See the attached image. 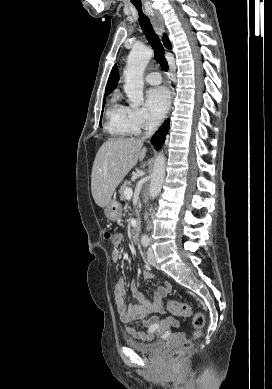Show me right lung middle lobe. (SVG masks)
Wrapping results in <instances>:
<instances>
[{"label": "right lung middle lobe", "instance_id": "1", "mask_svg": "<svg viewBox=\"0 0 272 389\" xmlns=\"http://www.w3.org/2000/svg\"><path fill=\"white\" fill-rule=\"evenodd\" d=\"M107 94H105L104 96V102H103V108H104V104H105V97H106ZM100 126H101V121H100Z\"/></svg>", "mask_w": 272, "mask_h": 389}]
</instances>
